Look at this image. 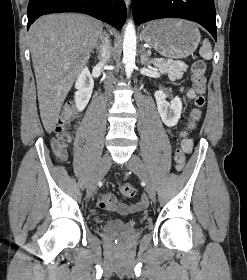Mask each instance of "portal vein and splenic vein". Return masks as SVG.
Masks as SVG:
<instances>
[{
	"label": "portal vein and splenic vein",
	"instance_id": "1",
	"mask_svg": "<svg viewBox=\"0 0 247 280\" xmlns=\"http://www.w3.org/2000/svg\"><path fill=\"white\" fill-rule=\"evenodd\" d=\"M164 59L159 58V59H154L155 62H162Z\"/></svg>",
	"mask_w": 247,
	"mask_h": 280
}]
</instances>
